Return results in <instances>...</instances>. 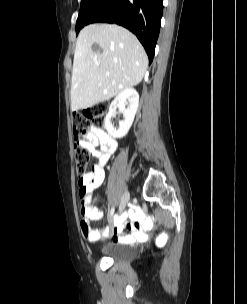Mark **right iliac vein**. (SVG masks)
I'll use <instances>...</instances> for the list:
<instances>
[{
	"label": "right iliac vein",
	"mask_w": 247,
	"mask_h": 304,
	"mask_svg": "<svg viewBox=\"0 0 247 304\" xmlns=\"http://www.w3.org/2000/svg\"><path fill=\"white\" fill-rule=\"evenodd\" d=\"M130 199V195L128 192H125L122 199H121V203L119 206V213H122L127 205V203L129 202Z\"/></svg>",
	"instance_id": "right-iliac-vein-1"
}]
</instances>
